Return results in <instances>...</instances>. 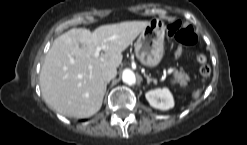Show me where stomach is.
<instances>
[{"instance_id":"1","label":"stomach","mask_w":247,"mask_h":145,"mask_svg":"<svg viewBox=\"0 0 247 145\" xmlns=\"http://www.w3.org/2000/svg\"><path fill=\"white\" fill-rule=\"evenodd\" d=\"M165 24L152 19L134 44L137 59L145 66L155 67L164 55Z\"/></svg>"}]
</instances>
